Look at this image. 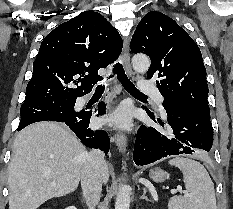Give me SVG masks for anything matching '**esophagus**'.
Instances as JSON below:
<instances>
[{"label": "esophagus", "mask_w": 233, "mask_h": 209, "mask_svg": "<svg viewBox=\"0 0 233 209\" xmlns=\"http://www.w3.org/2000/svg\"><path fill=\"white\" fill-rule=\"evenodd\" d=\"M122 63L124 69L128 75H132V67L130 64V52H129V40L128 38L124 39L123 50H122ZM115 142L118 149L122 152L127 144V137L124 133L118 132L115 135Z\"/></svg>", "instance_id": "34e87169"}]
</instances>
